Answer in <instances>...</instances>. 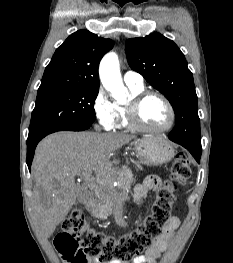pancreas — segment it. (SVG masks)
<instances>
[{
	"mask_svg": "<svg viewBox=\"0 0 233 263\" xmlns=\"http://www.w3.org/2000/svg\"><path fill=\"white\" fill-rule=\"evenodd\" d=\"M118 187L106 190L103 187H98L96 192L97 204L91 208V214L99 219L105 220L112 214L114 209L127 198L126 191L130 189L132 183L135 181L130 172L119 171L116 179Z\"/></svg>",
	"mask_w": 233,
	"mask_h": 263,
	"instance_id": "pancreas-1",
	"label": "pancreas"
}]
</instances>
